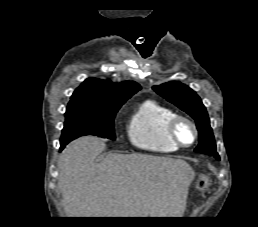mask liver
Wrapping results in <instances>:
<instances>
[{"label":"liver","instance_id":"6515ba94","mask_svg":"<svg viewBox=\"0 0 258 227\" xmlns=\"http://www.w3.org/2000/svg\"><path fill=\"white\" fill-rule=\"evenodd\" d=\"M99 138L85 136L63 150L58 186L67 217H181L191 166L180 159L144 154H108Z\"/></svg>","mask_w":258,"mask_h":227}]
</instances>
